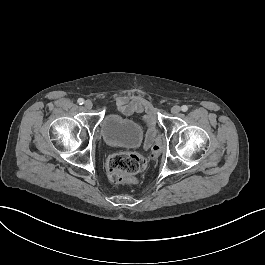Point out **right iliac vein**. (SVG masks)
I'll return each instance as SVG.
<instances>
[{"mask_svg": "<svg viewBox=\"0 0 265 265\" xmlns=\"http://www.w3.org/2000/svg\"><path fill=\"white\" fill-rule=\"evenodd\" d=\"M84 106L86 109H91L93 104L90 100H86L85 103H84Z\"/></svg>", "mask_w": 265, "mask_h": 265, "instance_id": "right-iliac-vein-1", "label": "right iliac vein"}]
</instances>
